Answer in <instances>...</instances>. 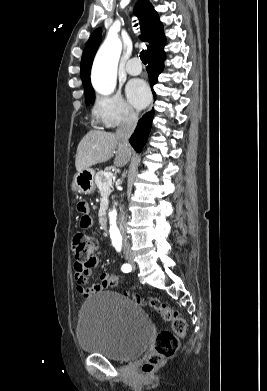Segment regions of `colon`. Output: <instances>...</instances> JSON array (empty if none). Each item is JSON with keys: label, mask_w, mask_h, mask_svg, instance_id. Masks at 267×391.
I'll use <instances>...</instances> for the list:
<instances>
[{"label": "colon", "mask_w": 267, "mask_h": 391, "mask_svg": "<svg viewBox=\"0 0 267 391\" xmlns=\"http://www.w3.org/2000/svg\"><path fill=\"white\" fill-rule=\"evenodd\" d=\"M98 248V242L93 236L85 233H76L72 240V249L75 255L76 264L90 266L95 262L94 253ZM108 284H117L114 274H109ZM132 299L139 305L149 309L164 321L170 323L171 331H160L154 341L151 353L148 355L142 370L146 373L152 371L164 360L172 357L179 347V337L186 332L185 320L171 306L160 302L157 299L143 298L139 295H132Z\"/></svg>", "instance_id": "obj_1"}]
</instances>
